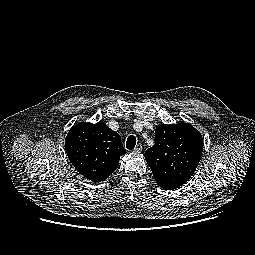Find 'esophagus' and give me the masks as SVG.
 <instances>
[{"label":"esophagus","instance_id":"esophagus-1","mask_svg":"<svg viewBox=\"0 0 255 255\" xmlns=\"http://www.w3.org/2000/svg\"><path fill=\"white\" fill-rule=\"evenodd\" d=\"M142 149H143V147H142V144H137L136 145V147L134 148V152L135 153H141L142 152Z\"/></svg>","mask_w":255,"mask_h":255}]
</instances>
